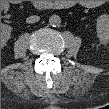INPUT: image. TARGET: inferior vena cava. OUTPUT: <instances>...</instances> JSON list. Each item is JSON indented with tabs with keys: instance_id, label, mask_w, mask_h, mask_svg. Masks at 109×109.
<instances>
[{
	"instance_id": "1",
	"label": "inferior vena cava",
	"mask_w": 109,
	"mask_h": 109,
	"mask_svg": "<svg viewBox=\"0 0 109 109\" xmlns=\"http://www.w3.org/2000/svg\"><path fill=\"white\" fill-rule=\"evenodd\" d=\"M39 19H40L39 16L32 15V16L27 17L26 22L27 23H35V22H38Z\"/></svg>"
}]
</instances>
